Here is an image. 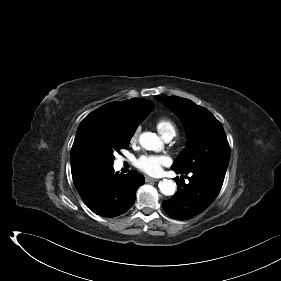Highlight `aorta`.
I'll return each instance as SVG.
<instances>
[{
	"label": "aorta",
	"instance_id": "aorta-1",
	"mask_svg": "<svg viewBox=\"0 0 281 281\" xmlns=\"http://www.w3.org/2000/svg\"><path fill=\"white\" fill-rule=\"evenodd\" d=\"M140 145L146 150H157L161 146L160 138L152 132H144L139 137ZM159 190L166 196L176 192V183L173 180L163 179L158 184Z\"/></svg>",
	"mask_w": 281,
	"mask_h": 281
}]
</instances>
